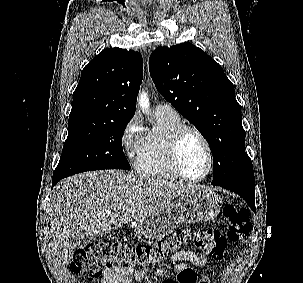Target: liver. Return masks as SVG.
Instances as JSON below:
<instances>
[{
	"label": "liver",
	"mask_w": 303,
	"mask_h": 283,
	"mask_svg": "<svg viewBox=\"0 0 303 283\" xmlns=\"http://www.w3.org/2000/svg\"><path fill=\"white\" fill-rule=\"evenodd\" d=\"M199 190L197 185L119 170L85 172L64 179L53 190L50 210L52 244L61 266L72 260L78 238L109 233Z\"/></svg>",
	"instance_id": "6515ba94"
}]
</instances>
